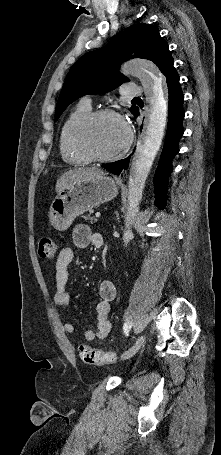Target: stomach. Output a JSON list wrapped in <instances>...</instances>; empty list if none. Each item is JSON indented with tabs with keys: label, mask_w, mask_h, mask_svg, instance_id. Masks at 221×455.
I'll return each instance as SVG.
<instances>
[{
	"label": "stomach",
	"mask_w": 221,
	"mask_h": 455,
	"mask_svg": "<svg viewBox=\"0 0 221 455\" xmlns=\"http://www.w3.org/2000/svg\"><path fill=\"white\" fill-rule=\"evenodd\" d=\"M117 194L116 181L106 175L75 181L53 200L49 210L50 223L56 230L65 231L77 216L112 200Z\"/></svg>",
	"instance_id": "stomach-1"
}]
</instances>
